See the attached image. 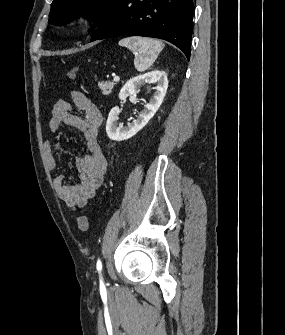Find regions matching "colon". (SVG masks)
I'll return each mask as SVG.
<instances>
[{"mask_svg": "<svg viewBox=\"0 0 285 335\" xmlns=\"http://www.w3.org/2000/svg\"><path fill=\"white\" fill-rule=\"evenodd\" d=\"M77 75V69L76 67H71L68 72H67V76L71 79V80H75ZM77 227L80 231L82 232H86L89 228V221L88 218L85 215H80L77 218Z\"/></svg>", "mask_w": 285, "mask_h": 335, "instance_id": "obj_1", "label": "colon"}]
</instances>
